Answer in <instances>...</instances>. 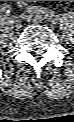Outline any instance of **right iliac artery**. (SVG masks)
<instances>
[{"label": "right iliac artery", "mask_w": 74, "mask_h": 122, "mask_svg": "<svg viewBox=\"0 0 74 122\" xmlns=\"http://www.w3.org/2000/svg\"><path fill=\"white\" fill-rule=\"evenodd\" d=\"M1 11L5 12V13H10L11 12V8H10V6L7 3H4L1 6Z\"/></svg>", "instance_id": "1"}]
</instances>
